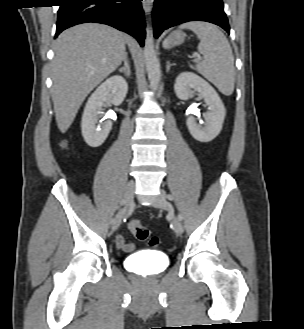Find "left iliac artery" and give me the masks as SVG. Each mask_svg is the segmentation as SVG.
Returning a JSON list of instances; mask_svg holds the SVG:
<instances>
[{"label":"left iliac artery","instance_id":"1","mask_svg":"<svg viewBox=\"0 0 304 329\" xmlns=\"http://www.w3.org/2000/svg\"><path fill=\"white\" fill-rule=\"evenodd\" d=\"M167 198L171 201L174 199V197L171 194H167ZM178 219L182 220V215L181 214L178 215Z\"/></svg>","mask_w":304,"mask_h":329}]
</instances>
